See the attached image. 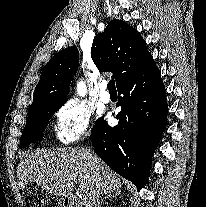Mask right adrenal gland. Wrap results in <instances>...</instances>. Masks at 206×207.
Returning a JSON list of instances; mask_svg holds the SVG:
<instances>
[{"label":"right adrenal gland","instance_id":"obj_1","mask_svg":"<svg viewBox=\"0 0 206 207\" xmlns=\"http://www.w3.org/2000/svg\"><path fill=\"white\" fill-rule=\"evenodd\" d=\"M117 195H120V191H116V192H114V193H112V194H109V195L105 196V197H104L103 199H101V201L99 202L98 207H101L105 200H107V199H109V198H112V197H114V196H117Z\"/></svg>","mask_w":206,"mask_h":207}]
</instances>
